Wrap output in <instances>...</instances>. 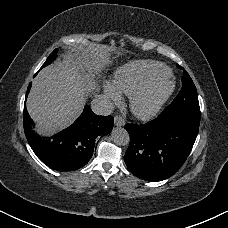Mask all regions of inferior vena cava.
<instances>
[{"label": "inferior vena cava", "mask_w": 228, "mask_h": 228, "mask_svg": "<svg viewBox=\"0 0 228 228\" xmlns=\"http://www.w3.org/2000/svg\"><path fill=\"white\" fill-rule=\"evenodd\" d=\"M92 111L96 115L108 116L115 110L114 105L110 102L106 95L96 96L91 103Z\"/></svg>", "instance_id": "1"}]
</instances>
